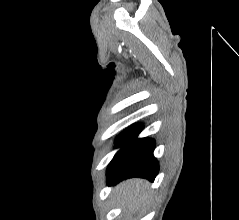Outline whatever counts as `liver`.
<instances>
[{
  "label": "liver",
  "instance_id": "6515ba94",
  "mask_svg": "<svg viewBox=\"0 0 239 220\" xmlns=\"http://www.w3.org/2000/svg\"><path fill=\"white\" fill-rule=\"evenodd\" d=\"M148 183L141 179H130L115 187L117 198L122 206L135 210L147 198Z\"/></svg>",
  "mask_w": 239,
  "mask_h": 220
}]
</instances>
